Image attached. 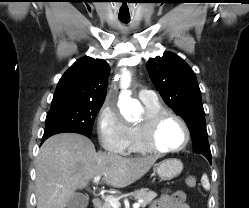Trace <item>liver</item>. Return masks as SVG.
<instances>
[{
    "label": "liver",
    "instance_id": "6515ba94",
    "mask_svg": "<svg viewBox=\"0 0 249 208\" xmlns=\"http://www.w3.org/2000/svg\"><path fill=\"white\" fill-rule=\"evenodd\" d=\"M157 159L97 153L83 135H54L43 143L36 159L37 208H65L75 191L97 176L113 187H127L143 177Z\"/></svg>",
    "mask_w": 249,
    "mask_h": 208
}]
</instances>
